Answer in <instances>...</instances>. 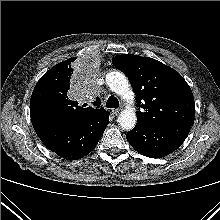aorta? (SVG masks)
<instances>
[{"instance_id": "762f6f07", "label": "aorta", "mask_w": 220, "mask_h": 220, "mask_svg": "<svg viewBox=\"0 0 220 220\" xmlns=\"http://www.w3.org/2000/svg\"><path fill=\"white\" fill-rule=\"evenodd\" d=\"M106 84L117 95L129 102L135 99L134 92L130 87L127 77L119 71H111L106 75ZM137 121L136 113L132 108H126L121 111L118 117L119 125L124 130H131L135 127Z\"/></svg>"}]
</instances>
